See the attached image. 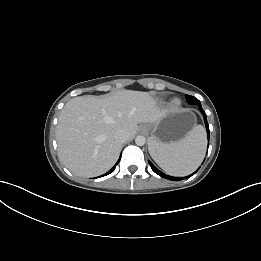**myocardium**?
<instances>
[{
  "label": "myocardium",
  "mask_w": 261,
  "mask_h": 261,
  "mask_svg": "<svg viewBox=\"0 0 261 261\" xmlns=\"http://www.w3.org/2000/svg\"><path fill=\"white\" fill-rule=\"evenodd\" d=\"M170 105L172 108L176 109V108L180 107L181 101L178 98H174V99H172Z\"/></svg>",
  "instance_id": "obj_1"
}]
</instances>
